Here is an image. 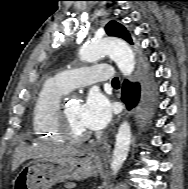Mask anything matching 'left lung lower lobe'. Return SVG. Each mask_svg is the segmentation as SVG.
Segmentation results:
<instances>
[{
    "label": "left lung lower lobe",
    "mask_w": 188,
    "mask_h": 189,
    "mask_svg": "<svg viewBox=\"0 0 188 189\" xmlns=\"http://www.w3.org/2000/svg\"><path fill=\"white\" fill-rule=\"evenodd\" d=\"M156 94V85L150 71L145 73L141 85L127 80L122 85V101L126 104L128 110L134 108L139 103L140 98L149 103H154Z\"/></svg>",
    "instance_id": "0a47b994"
}]
</instances>
